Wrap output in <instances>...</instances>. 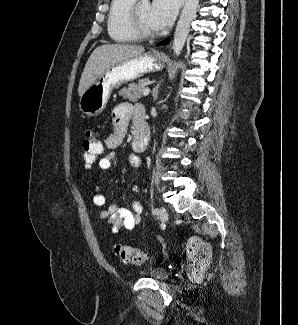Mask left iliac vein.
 Returning <instances> with one entry per match:
<instances>
[{
	"instance_id": "4c4485c4",
	"label": "left iliac vein",
	"mask_w": 298,
	"mask_h": 325,
	"mask_svg": "<svg viewBox=\"0 0 298 325\" xmlns=\"http://www.w3.org/2000/svg\"><path fill=\"white\" fill-rule=\"evenodd\" d=\"M160 218L163 222L168 220V212L164 207H161L159 210Z\"/></svg>"
}]
</instances>
